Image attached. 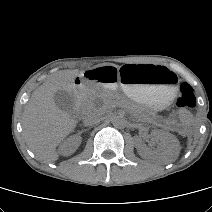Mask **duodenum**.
<instances>
[{"mask_svg":"<svg viewBox=\"0 0 212 212\" xmlns=\"http://www.w3.org/2000/svg\"><path fill=\"white\" fill-rule=\"evenodd\" d=\"M85 84L83 81L80 80L79 83H77L74 87V97L77 103L80 102L83 93H84Z\"/></svg>","mask_w":212,"mask_h":212,"instance_id":"1","label":"duodenum"}]
</instances>
